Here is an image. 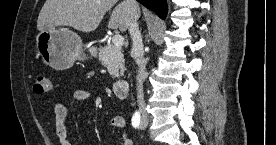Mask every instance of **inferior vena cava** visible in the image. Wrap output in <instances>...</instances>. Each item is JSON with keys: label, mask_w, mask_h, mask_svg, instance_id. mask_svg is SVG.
<instances>
[{"label": "inferior vena cava", "mask_w": 276, "mask_h": 145, "mask_svg": "<svg viewBox=\"0 0 276 145\" xmlns=\"http://www.w3.org/2000/svg\"><path fill=\"white\" fill-rule=\"evenodd\" d=\"M123 3L134 12L132 21L129 25V33L132 39L131 57L134 58L136 64L138 65V74L136 77L138 107L141 113H145L143 82L146 78L145 69L147 60L144 58L143 42L137 23V20L139 18V6L136 0H124Z\"/></svg>", "instance_id": "obj_1"}]
</instances>
